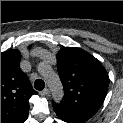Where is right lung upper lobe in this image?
I'll list each match as a JSON object with an SVG mask.
<instances>
[{"instance_id": "1", "label": "right lung upper lobe", "mask_w": 123, "mask_h": 123, "mask_svg": "<svg viewBox=\"0 0 123 123\" xmlns=\"http://www.w3.org/2000/svg\"><path fill=\"white\" fill-rule=\"evenodd\" d=\"M21 53H1V123H24L28 117V100L33 90L27 75L20 69Z\"/></svg>"}]
</instances>
